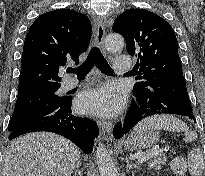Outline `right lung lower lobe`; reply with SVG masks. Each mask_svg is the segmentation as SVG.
Segmentation results:
<instances>
[{
    "label": "right lung lower lobe",
    "mask_w": 205,
    "mask_h": 176,
    "mask_svg": "<svg viewBox=\"0 0 205 176\" xmlns=\"http://www.w3.org/2000/svg\"><path fill=\"white\" fill-rule=\"evenodd\" d=\"M70 102V96L51 102L11 131L9 140L29 132L49 131L68 138L84 153H91L93 140L99 133L98 126L88 118L74 116Z\"/></svg>",
    "instance_id": "right-lung-lower-lobe-1"
}]
</instances>
